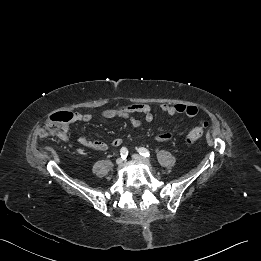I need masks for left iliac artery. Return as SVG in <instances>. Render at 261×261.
Wrapping results in <instances>:
<instances>
[{"mask_svg": "<svg viewBox=\"0 0 261 261\" xmlns=\"http://www.w3.org/2000/svg\"><path fill=\"white\" fill-rule=\"evenodd\" d=\"M138 152L142 156H145V157H149L150 156V152L146 148H144V147L139 148Z\"/></svg>", "mask_w": 261, "mask_h": 261, "instance_id": "1", "label": "left iliac artery"}]
</instances>
